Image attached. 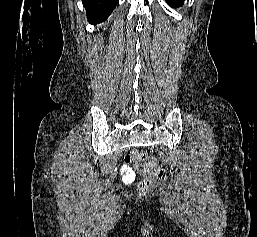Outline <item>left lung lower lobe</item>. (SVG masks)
Wrapping results in <instances>:
<instances>
[{
  "instance_id": "0a47b994",
  "label": "left lung lower lobe",
  "mask_w": 257,
  "mask_h": 237,
  "mask_svg": "<svg viewBox=\"0 0 257 237\" xmlns=\"http://www.w3.org/2000/svg\"><path fill=\"white\" fill-rule=\"evenodd\" d=\"M171 7L176 8L183 5L184 0H165Z\"/></svg>"
}]
</instances>
